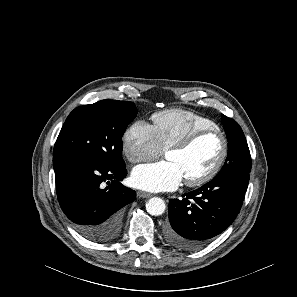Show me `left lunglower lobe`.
<instances>
[{"instance_id":"1","label":"left lung lower lobe","mask_w":297,"mask_h":297,"mask_svg":"<svg viewBox=\"0 0 297 297\" xmlns=\"http://www.w3.org/2000/svg\"><path fill=\"white\" fill-rule=\"evenodd\" d=\"M249 175L215 176L199 189L169 202L165 240L174 248L194 251L227 229L238 215Z\"/></svg>"}]
</instances>
